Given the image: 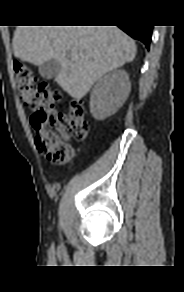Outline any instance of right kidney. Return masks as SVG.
<instances>
[{"label": "right kidney", "instance_id": "1", "mask_svg": "<svg viewBox=\"0 0 184 292\" xmlns=\"http://www.w3.org/2000/svg\"><path fill=\"white\" fill-rule=\"evenodd\" d=\"M131 90L128 73L113 70L98 80L90 95V112L97 120L114 114L127 99Z\"/></svg>", "mask_w": 184, "mask_h": 292}]
</instances>
